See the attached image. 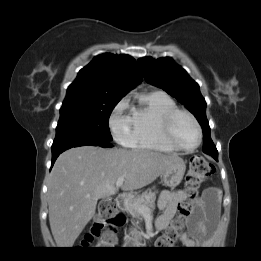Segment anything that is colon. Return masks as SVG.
<instances>
[{
	"label": "colon",
	"mask_w": 261,
	"mask_h": 261,
	"mask_svg": "<svg viewBox=\"0 0 261 261\" xmlns=\"http://www.w3.org/2000/svg\"><path fill=\"white\" fill-rule=\"evenodd\" d=\"M213 173V166L201 156H193L190 160L189 170L186 175V191L190 196H195L201 184ZM181 218L161 236L156 245L158 247H168L174 244L179 231L183 228V220L189 215V210L182 206L180 208ZM114 222H123L120 214L116 211V206L112 199H104L99 206L98 215L94 226L84 241L83 246L95 243L101 248L111 247L115 243L113 232L109 231L102 234L106 226H111Z\"/></svg>",
	"instance_id": "1"
}]
</instances>
